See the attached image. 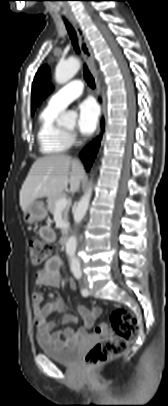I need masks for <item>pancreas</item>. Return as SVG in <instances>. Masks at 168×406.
Segmentation results:
<instances>
[{
    "mask_svg": "<svg viewBox=\"0 0 168 406\" xmlns=\"http://www.w3.org/2000/svg\"><path fill=\"white\" fill-rule=\"evenodd\" d=\"M63 197H64V195H63V194H60V195H58V196H56V197L48 198V200H47V203H48V210H49L52 214H54L55 211H56V207H55L56 202H57L59 199L63 198ZM68 212H69V208H64V209L62 210V218H63L64 222H67V220H68ZM61 232L64 234V233L66 232L65 228H62V229H61Z\"/></svg>",
    "mask_w": 168,
    "mask_h": 406,
    "instance_id": "cf45deb5",
    "label": "pancreas"
}]
</instances>
